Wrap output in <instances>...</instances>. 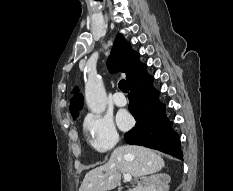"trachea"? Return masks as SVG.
<instances>
[{"mask_svg":"<svg viewBox=\"0 0 233 191\" xmlns=\"http://www.w3.org/2000/svg\"><path fill=\"white\" fill-rule=\"evenodd\" d=\"M118 87L122 92H124V93L128 92V86H127V83L124 79L120 80Z\"/></svg>","mask_w":233,"mask_h":191,"instance_id":"3493384b","label":"trachea"}]
</instances>
